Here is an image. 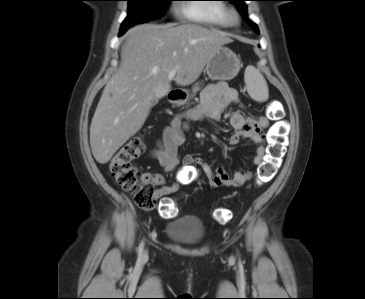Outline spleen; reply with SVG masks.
<instances>
[{"mask_svg": "<svg viewBox=\"0 0 365 299\" xmlns=\"http://www.w3.org/2000/svg\"><path fill=\"white\" fill-rule=\"evenodd\" d=\"M244 80L250 97L257 102H265L269 96V90L264 76L252 65L245 69Z\"/></svg>", "mask_w": 365, "mask_h": 299, "instance_id": "1", "label": "spleen"}]
</instances>
